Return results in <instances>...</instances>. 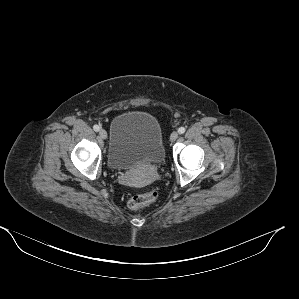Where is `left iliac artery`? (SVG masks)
Segmentation results:
<instances>
[{
    "label": "left iliac artery",
    "instance_id": "obj_1",
    "mask_svg": "<svg viewBox=\"0 0 299 299\" xmlns=\"http://www.w3.org/2000/svg\"><path fill=\"white\" fill-rule=\"evenodd\" d=\"M185 131H186V129H185L184 127H180V128L178 129V133H179V134H183Z\"/></svg>",
    "mask_w": 299,
    "mask_h": 299
}]
</instances>
